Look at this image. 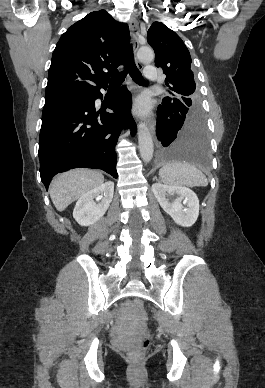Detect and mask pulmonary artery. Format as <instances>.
I'll list each match as a JSON object with an SVG mask.
<instances>
[{"mask_svg":"<svg viewBox=\"0 0 265 388\" xmlns=\"http://www.w3.org/2000/svg\"><path fill=\"white\" fill-rule=\"evenodd\" d=\"M157 65L156 64H149L148 65V71L142 73L143 79H152L153 76H157Z\"/></svg>","mask_w":265,"mask_h":388,"instance_id":"e3ab8cb5","label":"pulmonary artery"}]
</instances>
